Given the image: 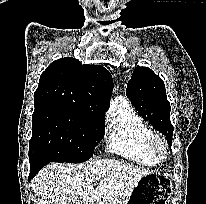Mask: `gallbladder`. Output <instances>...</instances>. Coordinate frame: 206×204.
Returning <instances> with one entry per match:
<instances>
[{"instance_id": "obj_1", "label": "gallbladder", "mask_w": 206, "mask_h": 204, "mask_svg": "<svg viewBox=\"0 0 206 204\" xmlns=\"http://www.w3.org/2000/svg\"><path fill=\"white\" fill-rule=\"evenodd\" d=\"M67 204H72L71 202H67Z\"/></svg>"}]
</instances>
